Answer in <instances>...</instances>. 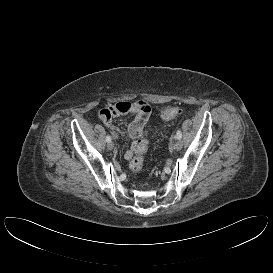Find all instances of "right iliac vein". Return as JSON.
Wrapping results in <instances>:
<instances>
[{"instance_id": "63e3f726", "label": "right iliac vein", "mask_w": 273, "mask_h": 273, "mask_svg": "<svg viewBox=\"0 0 273 273\" xmlns=\"http://www.w3.org/2000/svg\"><path fill=\"white\" fill-rule=\"evenodd\" d=\"M107 147L109 150H113L114 149V143L113 142H108Z\"/></svg>"}]
</instances>
